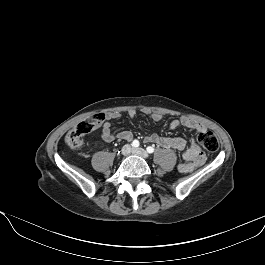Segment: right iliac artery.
I'll return each mask as SVG.
<instances>
[{
    "label": "right iliac artery",
    "mask_w": 265,
    "mask_h": 265,
    "mask_svg": "<svg viewBox=\"0 0 265 265\" xmlns=\"http://www.w3.org/2000/svg\"><path fill=\"white\" fill-rule=\"evenodd\" d=\"M131 145L133 147H138L139 146V141L138 140H134Z\"/></svg>",
    "instance_id": "obj_1"
}]
</instances>
